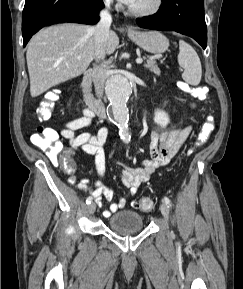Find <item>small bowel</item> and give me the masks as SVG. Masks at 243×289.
<instances>
[{"label": "small bowel", "mask_w": 243, "mask_h": 289, "mask_svg": "<svg viewBox=\"0 0 243 289\" xmlns=\"http://www.w3.org/2000/svg\"><path fill=\"white\" fill-rule=\"evenodd\" d=\"M190 106L195 107V104L191 103ZM94 117L95 115L91 110H83L79 117L63 125L59 131V135L68 141L70 153L81 150L94 156L99 179L93 183L87 179H82L76 186L88 192L90 197L94 198L99 206L102 204V197H105L110 202V206L103 211V215L110 217L126 206V200L121 197L117 202H113V191L105 186L102 181L105 173V153L102 146L107 138V129L102 127L95 134L78 132L83 128L91 126ZM190 132L191 126L176 127L170 130H153L150 137V158L135 167L120 163L122 166L121 181L129 190L131 196L137 194L138 188L149 180L151 174L156 169L167 165L171 161ZM76 181L75 175L70 176V183L75 184Z\"/></svg>", "instance_id": "1"}]
</instances>
